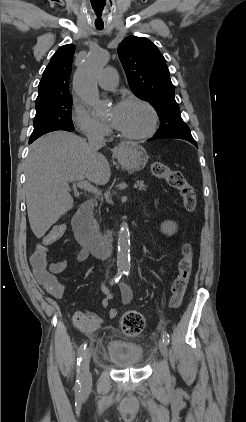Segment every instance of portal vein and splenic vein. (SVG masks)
<instances>
[{
	"label": "portal vein and splenic vein",
	"instance_id": "portal-vein-and-splenic-vein-1",
	"mask_svg": "<svg viewBox=\"0 0 246 422\" xmlns=\"http://www.w3.org/2000/svg\"><path fill=\"white\" fill-rule=\"evenodd\" d=\"M74 185L77 186V187H79V188H81V189H83V190H85V191H88L90 193H93V194H96V195H100L101 194V192H99L97 190V188L94 187L92 184H90V182H88L87 180H82V181L75 182ZM138 187H140L139 184H135L134 185V188H138Z\"/></svg>",
	"mask_w": 246,
	"mask_h": 422
}]
</instances>
